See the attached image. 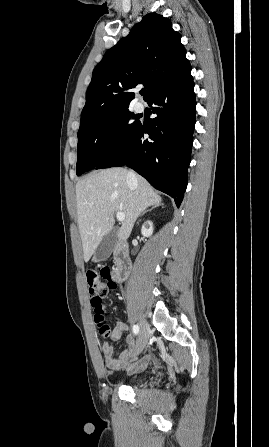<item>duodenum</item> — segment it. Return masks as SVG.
<instances>
[{"label":"duodenum","instance_id":"410a0bca","mask_svg":"<svg viewBox=\"0 0 269 447\" xmlns=\"http://www.w3.org/2000/svg\"><path fill=\"white\" fill-rule=\"evenodd\" d=\"M131 266L128 245L120 243L115 250V265L112 270L113 279L118 282L125 280L130 274Z\"/></svg>","mask_w":269,"mask_h":447}]
</instances>
